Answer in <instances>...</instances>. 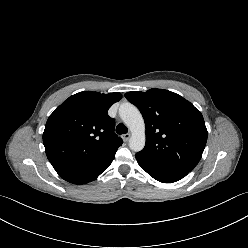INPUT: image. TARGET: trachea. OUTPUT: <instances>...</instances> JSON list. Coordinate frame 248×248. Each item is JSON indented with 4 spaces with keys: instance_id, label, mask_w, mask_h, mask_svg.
Wrapping results in <instances>:
<instances>
[{
    "instance_id": "trachea-1",
    "label": "trachea",
    "mask_w": 248,
    "mask_h": 248,
    "mask_svg": "<svg viewBox=\"0 0 248 248\" xmlns=\"http://www.w3.org/2000/svg\"><path fill=\"white\" fill-rule=\"evenodd\" d=\"M127 132H128V128L124 124L120 123L117 125L116 127L117 134L121 135V134H126Z\"/></svg>"
}]
</instances>
